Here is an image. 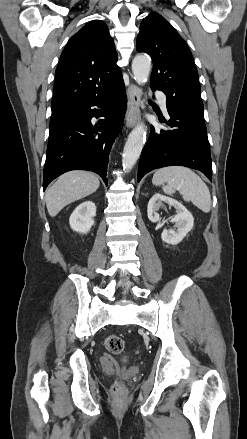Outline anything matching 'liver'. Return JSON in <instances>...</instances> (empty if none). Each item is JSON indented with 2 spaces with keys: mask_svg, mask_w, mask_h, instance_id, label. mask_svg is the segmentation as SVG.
Masks as SVG:
<instances>
[{
  "mask_svg": "<svg viewBox=\"0 0 247 439\" xmlns=\"http://www.w3.org/2000/svg\"><path fill=\"white\" fill-rule=\"evenodd\" d=\"M99 185L98 177L91 172L75 170L64 173L46 191L49 215L55 217L68 204L94 193Z\"/></svg>",
  "mask_w": 247,
  "mask_h": 439,
  "instance_id": "6515ba94",
  "label": "liver"
}]
</instances>
